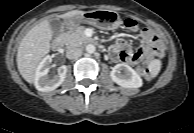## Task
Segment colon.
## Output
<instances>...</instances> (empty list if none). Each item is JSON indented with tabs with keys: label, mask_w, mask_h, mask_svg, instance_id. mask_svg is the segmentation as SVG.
<instances>
[{
	"label": "colon",
	"mask_w": 194,
	"mask_h": 133,
	"mask_svg": "<svg viewBox=\"0 0 194 133\" xmlns=\"http://www.w3.org/2000/svg\"><path fill=\"white\" fill-rule=\"evenodd\" d=\"M125 26L131 31H136L138 29V22L135 19L128 18L125 20ZM140 71L145 79H149L151 77L152 70L150 66H142Z\"/></svg>",
	"instance_id": "obj_1"
}]
</instances>
